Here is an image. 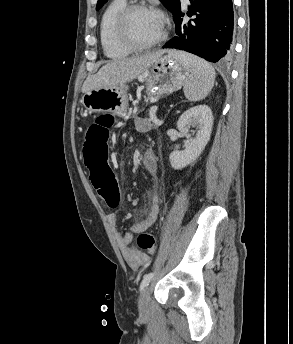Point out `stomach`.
Listing matches in <instances>:
<instances>
[{
    "mask_svg": "<svg viewBox=\"0 0 293 344\" xmlns=\"http://www.w3.org/2000/svg\"><path fill=\"white\" fill-rule=\"evenodd\" d=\"M148 95L171 94L184 85L188 71L171 53L161 55L138 77ZM128 85L116 88H100L85 93L82 104L89 113L109 112L124 117L128 107Z\"/></svg>",
    "mask_w": 293,
    "mask_h": 344,
    "instance_id": "stomach-1",
    "label": "stomach"
}]
</instances>
